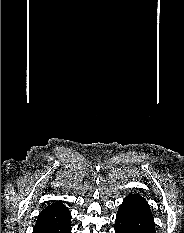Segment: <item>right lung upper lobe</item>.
<instances>
[{"instance_id": "obj_1", "label": "right lung upper lobe", "mask_w": 184, "mask_h": 233, "mask_svg": "<svg viewBox=\"0 0 184 233\" xmlns=\"http://www.w3.org/2000/svg\"><path fill=\"white\" fill-rule=\"evenodd\" d=\"M59 203H60V202H56V203H53V204H51V205H49V206H52V205H55V204H59ZM49 206H48V207H49Z\"/></svg>"}]
</instances>
